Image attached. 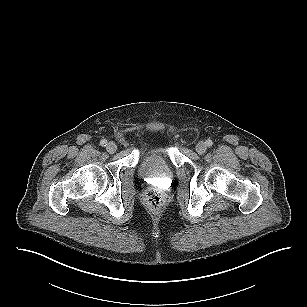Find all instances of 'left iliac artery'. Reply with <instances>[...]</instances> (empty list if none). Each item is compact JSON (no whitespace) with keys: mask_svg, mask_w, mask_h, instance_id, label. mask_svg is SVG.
Segmentation results:
<instances>
[{"mask_svg":"<svg viewBox=\"0 0 307 307\" xmlns=\"http://www.w3.org/2000/svg\"><path fill=\"white\" fill-rule=\"evenodd\" d=\"M206 145H207L208 147H211V146L213 145L212 140L208 139V140L206 141Z\"/></svg>","mask_w":307,"mask_h":307,"instance_id":"44dca946","label":"left iliac artery"}]
</instances>
